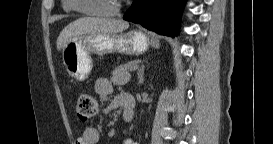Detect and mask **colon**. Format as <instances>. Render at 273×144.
<instances>
[{
  "label": "colon",
  "mask_w": 273,
  "mask_h": 144,
  "mask_svg": "<svg viewBox=\"0 0 273 144\" xmlns=\"http://www.w3.org/2000/svg\"><path fill=\"white\" fill-rule=\"evenodd\" d=\"M98 112V103L94 95L89 91H81L78 93L76 114L82 121H87Z\"/></svg>",
  "instance_id": "colon-1"
}]
</instances>
